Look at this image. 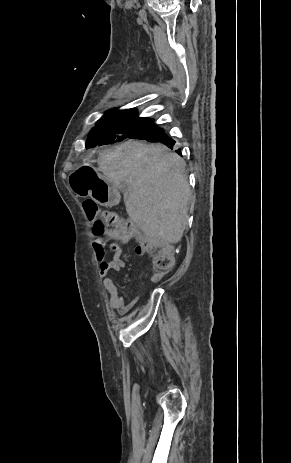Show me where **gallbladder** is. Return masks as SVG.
Returning a JSON list of instances; mask_svg holds the SVG:
<instances>
[{"label":"gallbladder","instance_id":"bac80fb5","mask_svg":"<svg viewBox=\"0 0 291 463\" xmlns=\"http://www.w3.org/2000/svg\"><path fill=\"white\" fill-rule=\"evenodd\" d=\"M119 189H120L122 192H126V191H127V185H126V184H123L122 186L119 187Z\"/></svg>","mask_w":291,"mask_h":463}]
</instances>
